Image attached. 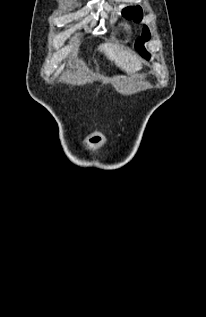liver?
Returning a JSON list of instances; mask_svg holds the SVG:
<instances>
[{"instance_id": "1", "label": "liver", "mask_w": 206, "mask_h": 317, "mask_svg": "<svg viewBox=\"0 0 206 317\" xmlns=\"http://www.w3.org/2000/svg\"><path fill=\"white\" fill-rule=\"evenodd\" d=\"M98 50L115 65L128 73L141 70L140 59L130 53L127 49L114 43H103L98 46Z\"/></svg>"}]
</instances>
